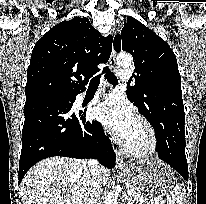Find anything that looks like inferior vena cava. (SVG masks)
<instances>
[{
	"label": "inferior vena cava",
	"mask_w": 206,
	"mask_h": 204,
	"mask_svg": "<svg viewBox=\"0 0 206 204\" xmlns=\"http://www.w3.org/2000/svg\"><path fill=\"white\" fill-rule=\"evenodd\" d=\"M88 180L84 204H96L101 194L103 168L96 159L87 162Z\"/></svg>",
	"instance_id": "1"
}]
</instances>
